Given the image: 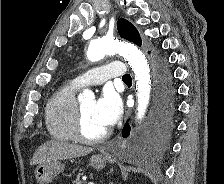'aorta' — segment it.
<instances>
[{"mask_svg": "<svg viewBox=\"0 0 224 184\" xmlns=\"http://www.w3.org/2000/svg\"><path fill=\"white\" fill-rule=\"evenodd\" d=\"M111 53L121 54L134 72L138 103L137 119L141 120L146 113L151 93L150 69L146 57L133 44L107 37L91 40L87 57L90 61L96 62L103 59L106 54ZM82 96L91 97L93 94L91 91L85 90Z\"/></svg>", "mask_w": 224, "mask_h": 184, "instance_id": "1", "label": "aorta"}]
</instances>
